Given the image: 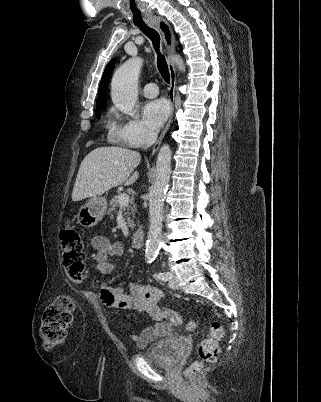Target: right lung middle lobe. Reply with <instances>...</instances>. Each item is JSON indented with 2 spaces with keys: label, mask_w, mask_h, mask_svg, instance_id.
<instances>
[{
  "label": "right lung middle lobe",
  "mask_w": 321,
  "mask_h": 402,
  "mask_svg": "<svg viewBox=\"0 0 321 402\" xmlns=\"http://www.w3.org/2000/svg\"><path fill=\"white\" fill-rule=\"evenodd\" d=\"M101 110H106V106L96 108L95 116H96L97 118H100V117H101Z\"/></svg>",
  "instance_id": "dd1d6c3e"
}]
</instances>
